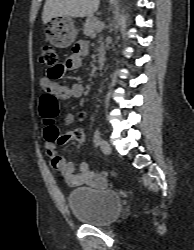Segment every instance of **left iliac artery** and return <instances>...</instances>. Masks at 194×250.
Masks as SVG:
<instances>
[{
    "mask_svg": "<svg viewBox=\"0 0 194 250\" xmlns=\"http://www.w3.org/2000/svg\"><path fill=\"white\" fill-rule=\"evenodd\" d=\"M100 138H101V133H100L99 129H96L94 132V139H93L95 147H97L99 145Z\"/></svg>",
    "mask_w": 194,
    "mask_h": 250,
    "instance_id": "44dca946",
    "label": "left iliac artery"
}]
</instances>
